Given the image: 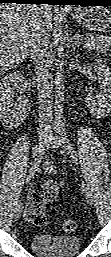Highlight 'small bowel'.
Listing matches in <instances>:
<instances>
[{
  "label": "small bowel",
  "mask_w": 111,
  "mask_h": 257,
  "mask_svg": "<svg viewBox=\"0 0 111 257\" xmlns=\"http://www.w3.org/2000/svg\"><path fill=\"white\" fill-rule=\"evenodd\" d=\"M43 169L47 176L56 172V167L52 162H46ZM63 185V181L45 178L42 183L43 198L36 193L33 194L25 212L26 219L35 225L43 224L45 221V204L57 197Z\"/></svg>",
  "instance_id": "1"
}]
</instances>
